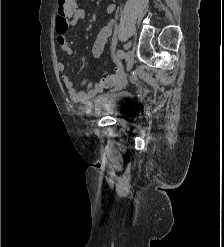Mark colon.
Returning <instances> with one entry per match:
<instances>
[{"mask_svg": "<svg viewBox=\"0 0 224 247\" xmlns=\"http://www.w3.org/2000/svg\"><path fill=\"white\" fill-rule=\"evenodd\" d=\"M77 9L76 0H58L57 9V26L56 29L59 32H66L75 11ZM120 80L119 74H111L105 76L101 84L103 87H111Z\"/></svg>", "mask_w": 224, "mask_h": 247, "instance_id": "5ec220e1", "label": "colon"}]
</instances>
